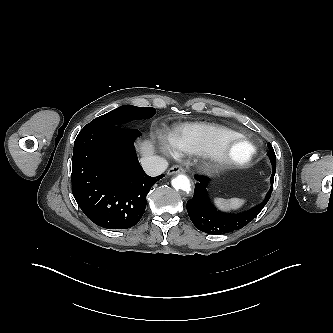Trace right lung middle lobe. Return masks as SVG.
Here are the masks:
<instances>
[{"instance_id": "dd1d6c3e", "label": "right lung middle lobe", "mask_w": 333, "mask_h": 333, "mask_svg": "<svg viewBox=\"0 0 333 333\" xmlns=\"http://www.w3.org/2000/svg\"><path fill=\"white\" fill-rule=\"evenodd\" d=\"M156 110L152 107H136L132 105H123L100 117L95 118L87 125L97 126H122L135 119H149L154 116Z\"/></svg>"}]
</instances>
